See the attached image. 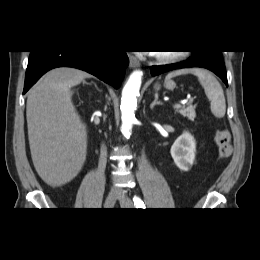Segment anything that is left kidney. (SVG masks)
Masks as SVG:
<instances>
[{"instance_id":"obj_1","label":"left kidney","mask_w":260,"mask_h":260,"mask_svg":"<svg viewBox=\"0 0 260 260\" xmlns=\"http://www.w3.org/2000/svg\"><path fill=\"white\" fill-rule=\"evenodd\" d=\"M196 144L193 136L185 131L173 143L170 153L177 165L182 171H189L195 159Z\"/></svg>"}]
</instances>
